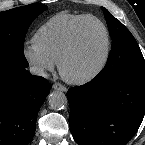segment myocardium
<instances>
[{"label":"myocardium","instance_id":"obj_1","mask_svg":"<svg viewBox=\"0 0 145 145\" xmlns=\"http://www.w3.org/2000/svg\"><path fill=\"white\" fill-rule=\"evenodd\" d=\"M88 21H94L98 23L105 33V51L101 61L96 65L92 70L89 72L79 75V76H72L69 75L66 71V65L71 57L77 50L80 40V32L85 23ZM111 54V35L107 25L98 17L93 15H88L85 18L81 19L77 25L74 27L70 42L66 49L64 50L63 54L61 55L58 61V70L61 77L68 83L74 85H83L86 84L93 79H95L106 67L108 64L109 58Z\"/></svg>","mask_w":145,"mask_h":145}]
</instances>
